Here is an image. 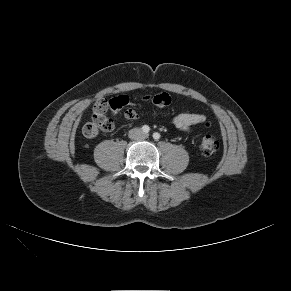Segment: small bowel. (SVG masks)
Returning <instances> with one entry per match:
<instances>
[{"mask_svg": "<svg viewBox=\"0 0 291 291\" xmlns=\"http://www.w3.org/2000/svg\"><path fill=\"white\" fill-rule=\"evenodd\" d=\"M132 105L134 104H129L128 106H132ZM109 109L112 110L110 106V101H107L105 99H99L94 104L93 115L100 114V113L106 114V112ZM124 115L129 120H135L138 118V114L136 110L132 107H128L125 110ZM205 120H206L205 115L200 114V113H180L173 118L172 123L176 128L182 131H190L195 126L202 124Z\"/></svg>", "mask_w": 291, "mask_h": 291, "instance_id": "1", "label": "small bowel"}]
</instances>
